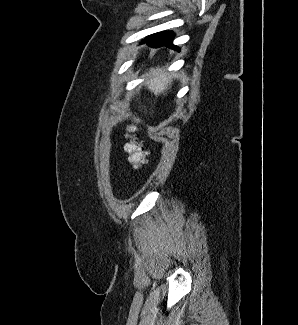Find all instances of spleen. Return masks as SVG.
Returning <instances> with one entry per match:
<instances>
[{
  "instance_id": "spleen-1",
  "label": "spleen",
  "mask_w": 298,
  "mask_h": 325,
  "mask_svg": "<svg viewBox=\"0 0 298 325\" xmlns=\"http://www.w3.org/2000/svg\"><path fill=\"white\" fill-rule=\"evenodd\" d=\"M170 74H166V72H162L161 68H150L149 70V78L146 80L145 84L150 90V92H154V94H162V92H166L168 90L170 84H172Z\"/></svg>"
}]
</instances>
